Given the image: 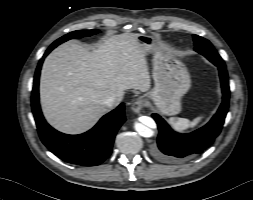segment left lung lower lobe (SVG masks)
<instances>
[{
	"instance_id": "1",
	"label": "left lung lower lobe",
	"mask_w": 253,
	"mask_h": 200,
	"mask_svg": "<svg viewBox=\"0 0 253 200\" xmlns=\"http://www.w3.org/2000/svg\"><path fill=\"white\" fill-rule=\"evenodd\" d=\"M215 65L219 69L223 102L208 124L194 132L180 134L173 131L158 114H152L159 130L152 154L159 160L170 163L187 160L205 150L219 135L228 111L230 90L226 66Z\"/></svg>"
}]
</instances>
